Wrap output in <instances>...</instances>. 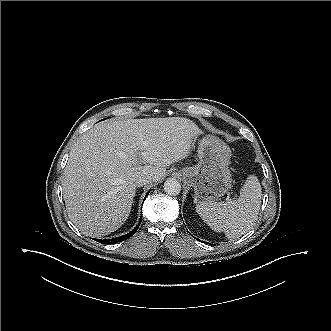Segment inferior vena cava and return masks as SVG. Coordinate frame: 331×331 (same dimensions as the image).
Segmentation results:
<instances>
[{
	"mask_svg": "<svg viewBox=\"0 0 331 331\" xmlns=\"http://www.w3.org/2000/svg\"><path fill=\"white\" fill-rule=\"evenodd\" d=\"M153 180V177L151 175H140L136 181H135V184L140 187V186H143V185H146L148 183H151Z\"/></svg>",
	"mask_w": 331,
	"mask_h": 331,
	"instance_id": "602c4592",
	"label": "inferior vena cava"
}]
</instances>
